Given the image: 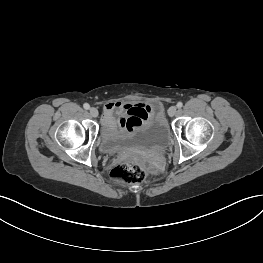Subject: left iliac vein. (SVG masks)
Returning a JSON list of instances; mask_svg holds the SVG:
<instances>
[{
    "instance_id": "obj_1",
    "label": "left iliac vein",
    "mask_w": 263,
    "mask_h": 263,
    "mask_svg": "<svg viewBox=\"0 0 263 263\" xmlns=\"http://www.w3.org/2000/svg\"><path fill=\"white\" fill-rule=\"evenodd\" d=\"M177 113V108L176 106H171L168 110L169 116L173 117Z\"/></svg>"
}]
</instances>
